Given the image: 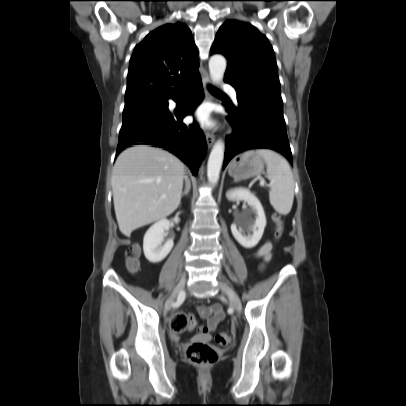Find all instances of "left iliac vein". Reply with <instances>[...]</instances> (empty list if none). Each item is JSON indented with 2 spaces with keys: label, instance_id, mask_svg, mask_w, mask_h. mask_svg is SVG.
I'll list each match as a JSON object with an SVG mask.
<instances>
[{
  "label": "left iliac vein",
  "instance_id": "4c4485c4",
  "mask_svg": "<svg viewBox=\"0 0 406 406\" xmlns=\"http://www.w3.org/2000/svg\"><path fill=\"white\" fill-rule=\"evenodd\" d=\"M221 290L228 296L231 306L240 313L242 311L241 301L238 295L226 284H219Z\"/></svg>",
  "mask_w": 406,
  "mask_h": 406
}]
</instances>
